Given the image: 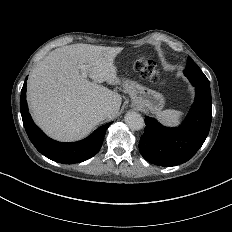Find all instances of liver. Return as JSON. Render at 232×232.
<instances>
[{"label":"liver","instance_id":"liver-1","mask_svg":"<svg viewBox=\"0 0 232 232\" xmlns=\"http://www.w3.org/2000/svg\"><path fill=\"white\" fill-rule=\"evenodd\" d=\"M123 47L75 44L51 51L31 71L28 103L36 123L59 140H75L88 134L103 119H113L122 98L100 84L118 85L116 57ZM79 63L88 64L89 77ZM109 106L110 113L99 110Z\"/></svg>","mask_w":232,"mask_h":232}]
</instances>
